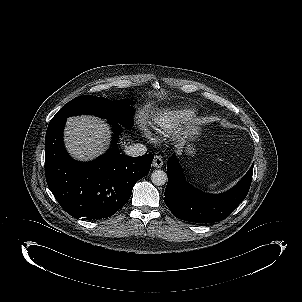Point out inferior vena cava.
Wrapping results in <instances>:
<instances>
[{
  "mask_svg": "<svg viewBox=\"0 0 302 302\" xmlns=\"http://www.w3.org/2000/svg\"><path fill=\"white\" fill-rule=\"evenodd\" d=\"M124 152L131 157L142 156L147 152V147L144 144L136 143L126 146Z\"/></svg>",
  "mask_w": 302,
  "mask_h": 302,
  "instance_id": "obj_1",
  "label": "inferior vena cava"
}]
</instances>
